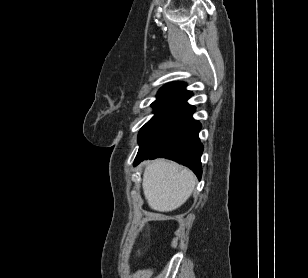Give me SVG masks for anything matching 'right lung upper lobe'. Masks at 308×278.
<instances>
[{
  "mask_svg": "<svg viewBox=\"0 0 308 278\" xmlns=\"http://www.w3.org/2000/svg\"><path fill=\"white\" fill-rule=\"evenodd\" d=\"M183 82H171L164 85L158 92L157 99L152 103L155 115L181 117L194 107L186 101L193 95L185 89Z\"/></svg>",
  "mask_w": 308,
  "mask_h": 278,
  "instance_id": "cb5924a9",
  "label": "right lung upper lobe"
}]
</instances>
